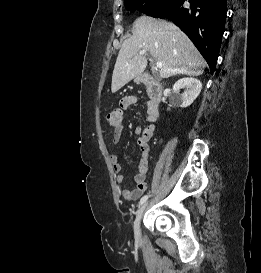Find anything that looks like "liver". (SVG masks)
Segmentation results:
<instances>
[{
  "label": "liver",
  "mask_w": 261,
  "mask_h": 273,
  "mask_svg": "<svg viewBox=\"0 0 261 273\" xmlns=\"http://www.w3.org/2000/svg\"><path fill=\"white\" fill-rule=\"evenodd\" d=\"M143 49L162 63L160 78L178 74H203V57L177 26L164 20L141 16L133 24V35L123 42L118 53L112 75V93L144 72L148 61L145 54L139 55Z\"/></svg>",
  "instance_id": "1"
}]
</instances>
